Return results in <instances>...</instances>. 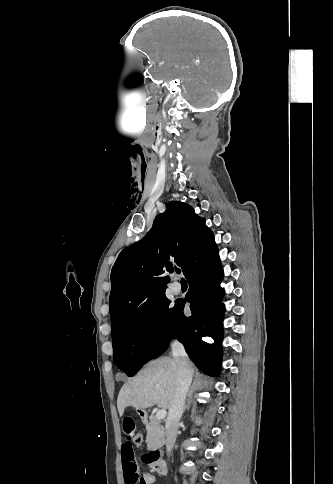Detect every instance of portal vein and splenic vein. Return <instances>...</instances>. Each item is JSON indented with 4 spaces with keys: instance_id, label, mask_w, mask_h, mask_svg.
<instances>
[{
    "instance_id": "1",
    "label": "portal vein and splenic vein",
    "mask_w": 333,
    "mask_h": 484,
    "mask_svg": "<svg viewBox=\"0 0 333 484\" xmlns=\"http://www.w3.org/2000/svg\"><path fill=\"white\" fill-rule=\"evenodd\" d=\"M166 414H167V411L165 409H161V410L157 411L155 417H156L157 420H162L166 417Z\"/></svg>"
}]
</instances>
